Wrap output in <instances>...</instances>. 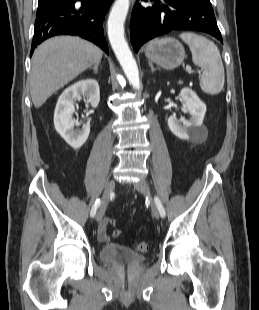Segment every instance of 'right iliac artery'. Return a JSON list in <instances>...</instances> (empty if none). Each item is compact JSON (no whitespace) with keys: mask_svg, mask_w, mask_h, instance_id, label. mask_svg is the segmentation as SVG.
Returning <instances> with one entry per match:
<instances>
[{"mask_svg":"<svg viewBox=\"0 0 259 310\" xmlns=\"http://www.w3.org/2000/svg\"><path fill=\"white\" fill-rule=\"evenodd\" d=\"M100 204H101L100 199H97L96 202H95V204L93 205V207H92V209H91V212H90L91 217H94V216H95L96 211H97V209L99 208Z\"/></svg>","mask_w":259,"mask_h":310,"instance_id":"82829eb1","label":"right iliac artery"}]
</instances>
